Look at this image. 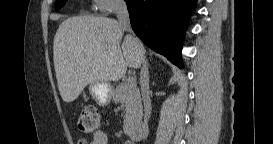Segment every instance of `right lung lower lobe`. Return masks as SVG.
<instances>
[{
	"label": "right lung lower lobe",
	"mask_w": 273,
	"mask_h": 144,
	"mask_svg": "<svg viewBox=\"0 0 273 144\" xmlns=\"http://www.w3.org/2000/svg\"><path fill=\"white\" fill-rule=\"evenodd\" d=\"M131 26L143 42L181 65V41L197 0H125Z\"/></svg>",
	"instance_id": "obj_1"
}]
</instances>
